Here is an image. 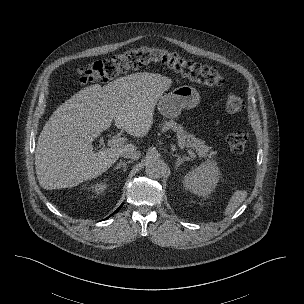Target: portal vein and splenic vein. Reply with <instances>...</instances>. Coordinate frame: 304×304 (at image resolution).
Wrapping results in <instances>:
<instances>
[{
  "label": "portal vein and splenic vein",
  "mask_w": 304,
  "mask_h": 304,
  "mask_svg": "<svg viewBox=\"0 0 304 304\" xmlns=\"http://www.w3.org/2000/svg\"><path fill=\"white\" fill-rule=\"evenodd\" d=\"M126 142V139L123 138V137H118V136H112L109 140H108V145L111 146V147H115V146H122L124 145ZM188 154L191 156V157H195V153L191 150V149H188Z\"/></svg>",
  "instance_id": "1"
}]
</instances>
